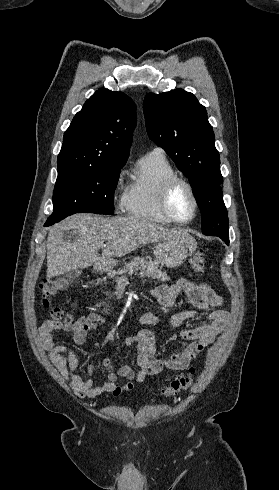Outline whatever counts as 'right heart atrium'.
Instances as JSON below:
<instances>
[{"mask_svg": "<svg viewBox=\"0 0 279 490\" xmlns=\"http://www.w3.org/2000/svg\"><path fill=\"white\" fill-rule=\"evenodd\" d=\"M123 179H124V171L120 172L117 176V179H116L117 188H119L122 185Z\"/></svg>", "mask_w": 279, "mask_h": 490, "instance_id": "1", "label": "right heart atrium"}]
</instances>
